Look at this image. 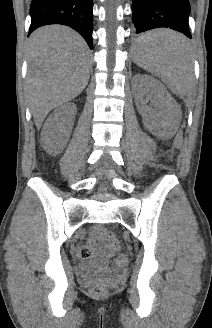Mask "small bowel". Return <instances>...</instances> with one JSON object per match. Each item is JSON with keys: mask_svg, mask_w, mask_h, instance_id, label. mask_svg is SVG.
<instances>
[{"mask_svg": "<svg viewBox=\"0 0 212 328\" xmlns=\"http://www.w3.org/2000/svg\"><path fill=\"white\" fill-rule=\"evenodd\" d=\"M93 235H94V238L97 239L98 232L95 231ZM102 247L103 246L100 243H98L97 241H95L93 244L89 245L88 247L83 248L81 250V252H84V253L87 254V256H89L92 251H94V250H101ZM104 255L108 257V256H110V252L106 251V252H104Z\"/></svg>", "mask_w": 212, "mask_h": 328, "instance_id": "1", "label": "small bowel"}]
</instances>
